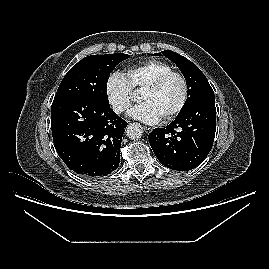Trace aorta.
Returning <instances> with one entry per match:
<instances>
[{"instance_id":"obj_1","label":"aorta","mask_w":269,"mask_h":269,"mask_svg":"<svg viewBox=\"0 0 269 269\" xmlns=\"http://www.w3.org/2000/svg\"><path fill=\"white\" fill-rule=\"evenodd\" d=\"M126 135L132 140L139 139L143 135V128L138 123H132L126 128Z\"/></svg>"}]
</instances>
